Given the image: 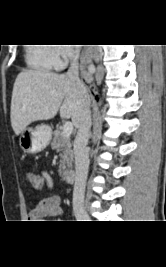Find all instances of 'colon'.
<instances>
[{
  "instance_id": "obj_1",
  "label": "colon",
  "mask_w": 166,
  "mask_h": 267,
  "mask_svg": "<svg viewBox=\"0 0 166 267\" xmlns=\"http://www.w3.org/2000/svg\"><path fill=\"white\" fill-rule=\"evenodd\" d=\"M25 180H28V185H33V188H46V183H43V177H39L36 171H27Z\"/></svg>"
}]
</instances>
